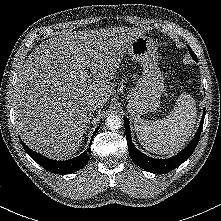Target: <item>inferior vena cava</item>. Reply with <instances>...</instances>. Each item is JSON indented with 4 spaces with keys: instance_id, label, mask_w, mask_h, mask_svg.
Returning a JSON list of instances; mask_svg holds the SVG:
<instances>
[{
    "instance_id": "602c4592",
    "label": "inferior vena cava",
    "mask_w": 221,
    "mask_h": 221,
    "mask_svg": "<svg viewBox=\"0 0 221 221\" xmlns=\"http://www.w3.org/2000/svg\"><path fill=\"white\" fill-rule=\"evenodd\" d=\"M101 107H103V103L99 100H90L87 102V109L89 111H94Z\"/></svg>"
}]
</instances>
